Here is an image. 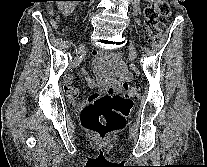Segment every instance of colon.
Wrapping results in <instances>:
<instances>
[{"mask_svg":"<svg viewBox=\"0 0 207 167\" xmlns=\"http://www.w3.org/2000/svg\"><path fill=\"white\" fill-rule=\"evenodd\" d=\"M145 23L151 41L160 39L162 21L171 15V6L168 0H154L145 9ZM115 59H119L117 54ZM141 92L138 85L125 83L123 93H108L100 96L84 108L81 114L82 126L101 139L122 129L129 115L133 100Z\"/></svg>","mask_w":207,"mask_h":167,"instance_id":"1","label":"colon"}]
</instances>
